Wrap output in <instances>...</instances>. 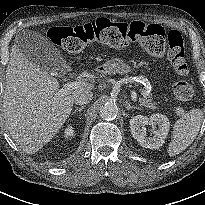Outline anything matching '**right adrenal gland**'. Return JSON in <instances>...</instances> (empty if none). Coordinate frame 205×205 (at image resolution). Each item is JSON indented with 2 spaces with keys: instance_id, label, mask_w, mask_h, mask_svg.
I'll use <instances>...</instances> for the list:
<instances>
[{
  "instance_id": "right-adrenal-gland-1",
  "label": "right adrenal gland",
  "mask_w": 205,
  "mask_h": 205,
  "mask_svg": "<svg viewBox=\"0 0 205 205\" xmlns=\"http://www.w3.org/2000/svg\"><path fill=\"white\" fill-rule=\"evenodd\" d=\"M84 108H85V106H81V107H79V108L77 107V108L74 110V112H72V115H73L74 113H76V112L81 113Z\"/></svg>"
}]
</instances>
